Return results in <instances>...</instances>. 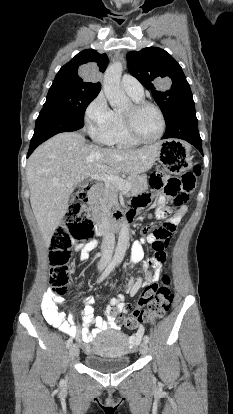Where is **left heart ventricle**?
<instances>
[{
	"label": "left heart ventricle",
	"instance_id": "obj_1",
	"mask_svg": "<svg viewBox=\"0 0 233 414\" xmlns=\"http://www.w3.org/2000/svg\"><path fill=\"white\" fill-rule=\"evenodd\" d=\"M133 113L132 106L128 107L124 114ZM134 124L138 133L144 138L151 139L156 137L161 130V118L153 108H146L133 113Z\"/></svg>",
	"mask_w": 233,
	"mask_h": 414
}]
</instances>
